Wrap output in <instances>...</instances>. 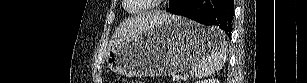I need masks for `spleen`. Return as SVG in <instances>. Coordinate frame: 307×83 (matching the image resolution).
<instances>
[{
	"instance_id": "3e777b00",
	"label": "spleen",
	"mask_w": 307,
	"mask_h": 83,
	"mask_svg": "<svg viewBox=\"0 0 307 83\" xmlns=\"http://www.w3.org/2000/svg\"><path fill=\"white\" fill-rule=\"evenodd\" d=\"M212 42V50L209 54L202 57L191 68V76L193 78H203L212 76L222 69L227 55L228 46L225 42L222 32L216 28H209Z\"/></svg>"
}]
</instances>
